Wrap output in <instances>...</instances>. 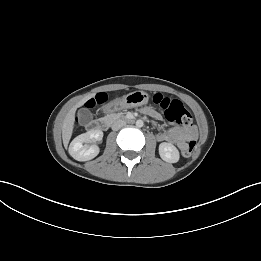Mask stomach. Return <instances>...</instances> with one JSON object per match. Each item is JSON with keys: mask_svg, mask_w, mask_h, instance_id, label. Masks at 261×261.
I'll use <instances>...</instances> for the list:
<instances>
[{"mask_svg": "<svg viewBox=\"0 0 261 261\" xmlns=\"http://www.w3.org/2000/svg\"><path fill=\"white\" fill-rule=\"evenodd\" d=\"M149 96L144 91H135L129 93L122 98L115 99L108 103L104 111L106 113H112L125 108H134L145 105L148 103Z\"/></svg>", "mask_w": 261, "mask_h": 261, "instance_id": "1", "label": "stomach"}]
</instances>
